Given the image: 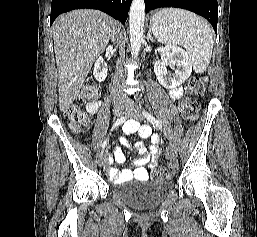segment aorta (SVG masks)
<instances>
[{"label":"aorta","instance_id":"762f6f07","mask_svg":"<svg viewBox=\"0 0 257 237\" xmlns=\"http://www.w3.org/2000/svg\"><path fill=\"white\" fill-rule=\"evenodd\" d=\"M145 20L144 0H133L129 12V30L131 53L137 57L143 42V28Z\"/></svg>","mask_w":257,"mask_h":237}]
</instances>
